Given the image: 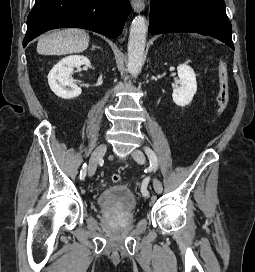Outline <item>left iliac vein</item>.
Wrapping results in <instances>:
<instances>
[{
  "label": "left iliac vein",
  "instance_id": "left-iliac-vein-1",
  "mask_svg": "<svg viewBox=\"0 0 255 272\" xmlns=\"http://www.w3.org/2000/svg\"><path fill=\"white\" fill-rule=\"evenodd\" d=\"M132 157L139 164H143L145 162V155L139 149H135L132 152ZM153 187H154V190H155L156 193L160 194L162 192V189H163L162 188V183L160 182L159 179H157V178L153 179Z\"/></svg>",
  "mask_w": 255,
  "mask_h": 272
}]
</instances>
